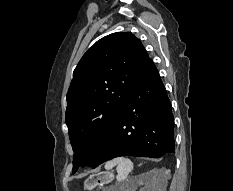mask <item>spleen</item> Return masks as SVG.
I'll return each instance as SVG.
<instances>
[{
	"instance_id": "spleen-1",
	"label": "spleen",
	"mask_w": 233,
	"mask_h": 191,
	"mask_svg": "<svg viewBox=\"0 0 233 191\" xmlns=\"http://www.w3.org/2000/svg\"><path fill=\"white\" fill-rule=\"evenodd\" d=\"M114 166H117L116 167V170H117L116 179L118 182H122L126 180V178L128 177V174L133 169V163L131 162V160H129L128 158H124V157L116 158L112 161L107 162L105 164V169L110 170Z\"/></svg>"
}]
</instances>
